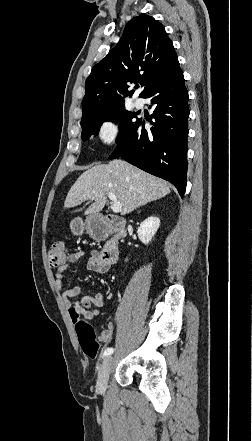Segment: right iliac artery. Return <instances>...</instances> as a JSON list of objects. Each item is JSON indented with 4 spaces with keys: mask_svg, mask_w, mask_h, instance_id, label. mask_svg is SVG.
<instances>
[{
    "mask_svg": "<svg viewBox=\"0 0 252 441\" xmlns=\"http://www.w3.org/2000/svg\"><path fill=\"white\" fill-rule=\"evenodd\" d=\"M113 351H114V349H113V348H107V349H105V351H104V356H107V355H110V354H112V353H113Z\"/></svg>",
    "mask_w": 252,
    "mask_h": 441,
    "instance_id": "obj_1",
    "label": "right iliac artery"
}]
</instances>
